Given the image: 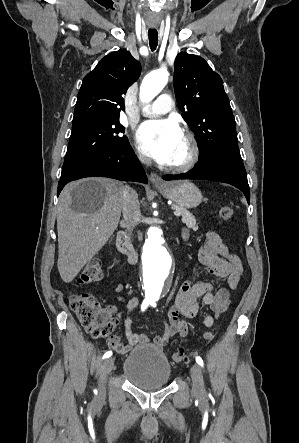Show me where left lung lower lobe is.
Returning a JSON list of instances; mask_svg holds the SVG:
<instances>
[{
    "label": "left lung lower lobe",
    "mask_w": 299,
    "mask_h": 443,
    "mask_svg": "<svg viewBox=\"0 0 299 443\" xmlns=\"http://www.w3.org/2000/svg\"><path fill=\"white\" fill-rule=\"evenodd\" d=\"M164 180L203 179L224 182L240 189L250 203V189L241 157L229 154H214L199 160L187 173L165 175Z\"/></svg>",
    "instance_id": "0a47b994"
}]
</instances>
